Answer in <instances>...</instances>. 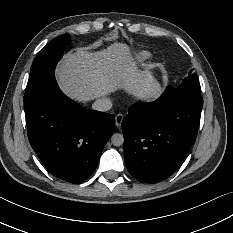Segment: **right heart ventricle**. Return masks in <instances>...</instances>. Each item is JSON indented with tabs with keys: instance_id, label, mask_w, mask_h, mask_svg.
Returning <instances> with one entry per match:
<instances>
[{
	"instance_id": "e07e8e85",
	"label": "right heart ventricle",
	"mask_w": 233,
	"mask_h": 233,
	"mask_svg": "<svg viewBox=\"0 0 233 233\" xmlns=\"http://www.w3.org/2000/svg\"><path fill=\"white\" fill-rule=\"evenodd\" d=\"M150 57L151 54L148 51H140L134 56L133 60L135 64L143 65Z\"/></svg>"
}]
</instances>
